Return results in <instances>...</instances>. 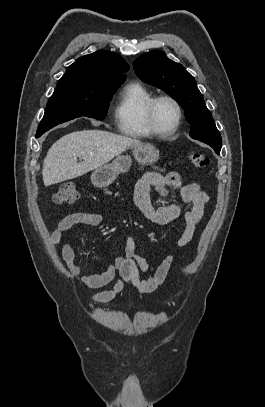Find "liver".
<instances>
[{"mask_svg": "<svg viewBox=\"0 0 265 407\" xmlns=\"http://www.w3.org/2000/svg\"><path fill=\"white\" fill-rule=\"evenodd\" d=\"M140 144L139 140L101 130L69 133L50 147L44 159V185L80 177L105 165L126 149ZM78 158L83 159V162L78 163Z\"/></svg>", "mask_w": 265, "mask_h": 407, "instance_id": "6515ba94", "label": "liver"}]
</instances>
